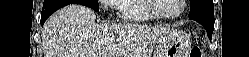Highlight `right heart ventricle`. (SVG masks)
<instances>
[{
	"instance_id": "1",
	"label": "right heart ventricle",
	"mask_w": 249,
	"mask_h": 57,
	"mask_svg": "<svg viewBox=\"0 0 249 57\" xmlns=\"http://www.w3.org/2000/svg\"><path fill=\"white\" fill-rule=\"evenodd\" d=\"M117 7L124 20L148 21L154 19L146 7V0H121Z\"/></svg>"
}]
</instances>
